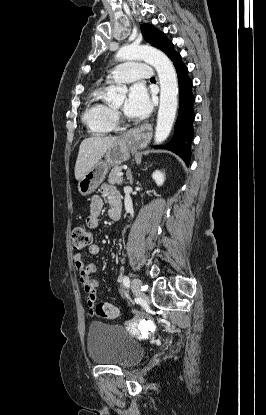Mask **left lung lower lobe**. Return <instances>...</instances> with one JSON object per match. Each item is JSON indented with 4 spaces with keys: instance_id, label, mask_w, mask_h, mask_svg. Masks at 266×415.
Returning <instances> with one entry per match:
<instances>
[{
    "instance_id": "obj_1",
    "label": "left lung lower lobe",
    "mask_w": 266,
    "mask_h": 415,
    "mask_svg": "<svg viewBox=\"0 0 266 415\" xmlns=\"http://www.w3.org/2000/svg\"><path fill=\"white\" fill-rule=\"evenodd\" d=\"M175 66L179 83V113L174 125V135L164 146L178 154L188 165L191 157V142L193 140L194 102L192 81L188 76V68L183 63L181 55L177 53L171 58Z\"/></svg>"
}]
</instances>
